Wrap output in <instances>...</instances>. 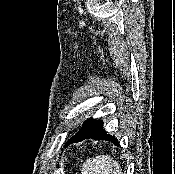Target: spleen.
Instances as JSON below:
<instances>
[{
  "mask_svg": "<svg viewBox=\"0 0 175 174\" xmlns=\"http://www.w3.org/2000/svg\"><path fill=\"white\" fill-rule=\"evenodd\" d=\"M81 174H122V169L109 155H97L83 163Z\"/></svg>",
  "mask_w": 175,
  "mask_h": 174,
  "instance_id": "1",
  "label": "spleen"
}]
</instances>
